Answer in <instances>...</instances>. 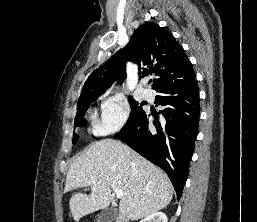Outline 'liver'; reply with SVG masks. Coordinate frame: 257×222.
Returning a JSON list of instances; mask_svg holds the SVG:
<instances>
[{
	"label": "liver",
	"mask_w": 257,
	"mask_h": 222,
	"mask_svg": "<svg viewBox=\"0 0 257 222\" xmlns=\"http://www.w3.org/2000/svg\"><path fill=\"white\" fill-rule=\"evenodd\" d=\"M112 185L123 191L119 210L132 221L165 208L173 197V187L161 169L121 142L103 139L90 144L67 172L64 193L91 188L89 195L75 193L70 198L74 220L78 222L85 215L107 208Z\"/></svg>",
	"instance_id": "obj_1"
}]
</instances>
